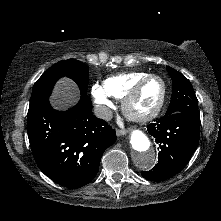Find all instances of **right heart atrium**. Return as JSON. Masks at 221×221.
Returning a JSON list of instances; mask_svg holds the SVG:
<instances>
[{"instance_id": "d8ad5b80", "label": "right heart atrium", "mask_w": 221, "mask_h": 221, "mask_svg": "<svg viewBox=\"0 0 221 221\" xmlns=\"http://www.w3.org/2000/svg\"><path fill=\"white\" fill-rule=\"evenodd\" d=\"M91 94L95 104L99 109L100 115L104 118L108 117L110 112V107L112 106V102L107 92L104 90L102 86L94 84L91 88Z\"/></svg>"}]
</instances>
